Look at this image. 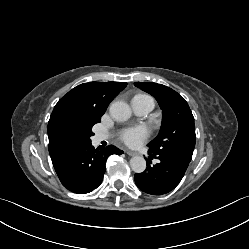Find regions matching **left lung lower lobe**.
<instances>
[{"label": "left lung lower lobe", "mask_w": 249, "mask_h": 249, "mask_svg": "<svg viewBox=\"0 0 249 249\" xmlns=\"http://www.w3.org/2000/svg\"><path fill=\"white\" fill-rule=\"evenodd\" d=\"M148 154L151 159L157 158L160 162L151 166V161L148 160L146 170L134 176L136 185L140 190L152 195H163L170 192L183 178L191 160L150 150Z\"/></svg>", "instance_id": "left-lung-lower-lobe-1"}]
</instances>
